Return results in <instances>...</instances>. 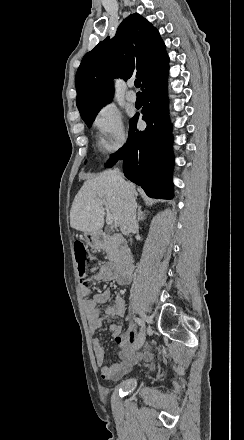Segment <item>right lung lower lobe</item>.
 Segmentation results:
<instances>
[{
	"label": "right lung lower lobe",
	"instance_id": "1",
	"mask_svg": "<svg viewBox=\"0 0 244 440\" xmlns=\"http://www.w3.org/2000/svg\"><path fill=\"white\" fill-rule=\"evenodd\" d=\"M167 75L168 63L154 71L142 84V114L147 127L139 131L138 116L130 119L126 144L106 164L112 167L122 159L125 176L141 186L148 196L162 199L174 196L172 136L167 121Z\"/></svg>",
	"mask_w": 244,
	"mask_h": 440
}]
</instances>
